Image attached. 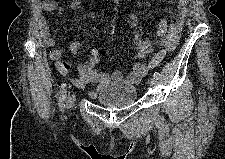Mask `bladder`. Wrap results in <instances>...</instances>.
Listing matches in <instances>:
<instances>
[{
	"label": "bladder",
	"instance_id": "1",
	"mask_svg": "<svg viewBox=\"0 0 225 159\" xmlns=\"http://www.w3.org/2000/svg\"><path fill=\"white\" fill-rule=\"evenodd\" d=\"M95 98L101 105L120 108L136 102L137 88L131 84L112 83L101 88Z\"/></svg>",
	"mask_w": 225,
	"mask_h": 159
}]
</instances>
